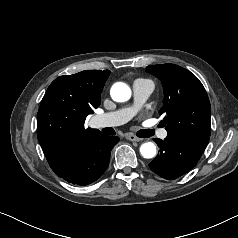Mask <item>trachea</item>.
Instances as JSON below:
<instances>
[{
  "mask_svg": "<svg viewBox=\"0 0 238 238\" xmlns=\"http://www.w3.org/2000/svg\"><path fill=\"white\" fill-rule=\"evenodd\" d=\"M154 134V131L151 129H143L137 132V135L141 138H148Z\"/></svg>",
  "mask_w": 238,
  "mask_h": 238,
  "instance_id": "3493384b",
  "label": "trachea"
}]
</instances>
